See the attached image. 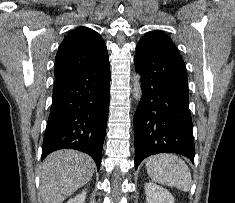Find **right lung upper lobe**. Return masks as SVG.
Instances as JSON below:
<instances>
[{
	"label": "right lung upper lobe",
	"instance_id": "cb5924a9",
	"mask_svg": "<svg viewBox=\"0 0 235 203\" xmlns=\"http://www.w3.org/2000/svg\"><path fill=\"white\" fill-rule=\"evenodd\" d=\"M106 44L94 30L79 27L62 41L55 58V83L64 81L107 57Z\"/></svg>",
	"mask_w": 235,
	"mask_h": 203
}]
</instances>
